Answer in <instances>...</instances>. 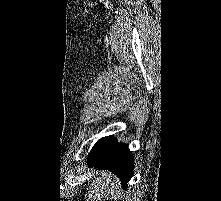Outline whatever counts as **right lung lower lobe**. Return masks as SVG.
<instances>
[{"mask_svg": "<svg viewBox=\"0 0 221 201\" xmlns=\"http://www.w3.org/2000/svg\"><path fill=\"white\" fill-rule=\"evenodd\" d=\"M88 160L90 166L112 171L120 178L123 187L127 188L134 166L127 145L118 143L113 136L104 137L94 145Z\"/></svg>", "mask_w": 221, "mask_h": 201, "instance_id": "98d812e1", "label": "right lung lower lobe"}]
</instances>
